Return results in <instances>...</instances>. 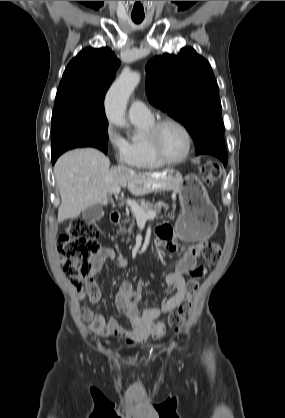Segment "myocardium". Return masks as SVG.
Instances as JSON below:
<instances>
[{
    "instance_id": "obj_1",
    "label": "myocardium",
    "mask_w": 285,
    "mask_h": 418,
    "mask_svg": "<svg viewBox=\"0 0 285 418\" xmlns=\"http://www.w3.org/2000/svg\"><path fill=\"white\" fill-rule=\"evenodd\" d=\"M169 124L175 125L178 128H180L187 140L185 153L178 159H170L166 157L159 145V134L162 128ZM146 140L153 156L160 162L167 165H177L185 162L190 156L193 147V139L189 129L182 122L174 118H163L153 123L147 134Z\"/></svg>"
}]
</instances>
